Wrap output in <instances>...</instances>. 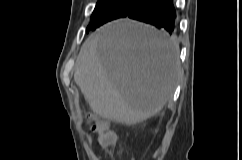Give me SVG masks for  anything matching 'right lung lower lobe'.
Masks as SVG:
<instances>
[{"label":"right lung lower lobe","mask_w":242,"mask_h":160,"mask_svg":"<svg viewBox=\"0 0 242 160\" xmlns=\"http://www.w3.org/2000/svg\"><path fill=\"white\" fill-rule=\"evenodd\" d=\"M125 17L164 29L169 34L176 32V11L171 0H146Z\"/></svg>","instance_id":"1"}]
</instances>
